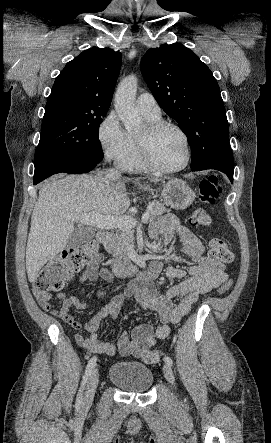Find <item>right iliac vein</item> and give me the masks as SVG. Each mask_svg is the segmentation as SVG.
<instances>
[{
  "label": "right iliac vein",
  "instance_id": "obj_1",
  "mask_svg": "<svg viewBox=\"0 0 271 443\" xmlns=\"http://www.w3.org/2000/svg\"><path fill=\"white\" fill-rule=\"evenodd\" d=\"M98 381H99V372L97 369H95L93 370L87 382L86 391L82 403V407L84 409H88L91 406L98 385Z\"/></svg>",
  "mask_w": 271,
  "mask_h": 443
}]
</instances>
